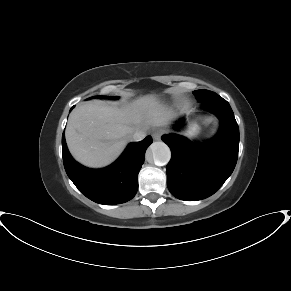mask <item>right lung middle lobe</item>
Instances as JSON below:
<instances>
[{
  "label": "right lung middle lobe",
  "instance_id": "1",
  "mask_svg": "<svg viewBox=\"0 0 291 291\" xmlns=\"http://www.w3.org/2000/svg\"><path fill=\"white\" fill-rule=\"evenodd\" d=\"M98 97L103 98L105 96H98ZM109 98L116 99L117 97H109Z\"/></svg>",
  "mask_w": 291,
  "mask_h": 291
}]
</instances>
